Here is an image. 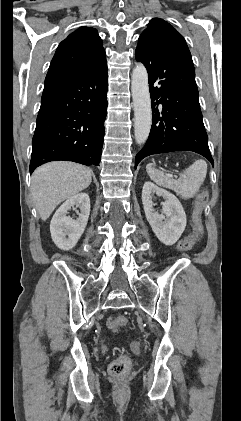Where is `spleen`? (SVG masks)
I'll list each match as a JSON object with an SVG mask.
<instances>
[{
  "label": "spleen",
  "instance_id": "obj_1",
  "mask_svg": "<svg viewBox=\"0 0 241 421\" xmlns=\"http://www.w3.org/2000/svg\"><path fill=\"white\" fill-rule=\"evenodd\" d=\"M146 170L156 184L174 191L184 199H189L197 194L203 184L207 174V164L204 160H196L180 174L178 179H173L163 171L155 169L152 164H148Z\"/></svg>",
  "mask_w": 241,
  "mask_h": 421
}]
</instances>
